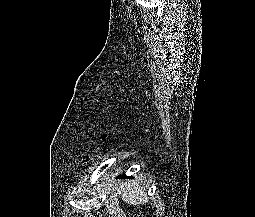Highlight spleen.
Listing matches in <instances>:
<instances>
[{"instance_id": "obj_1", "label": "spleen", "mask_w": 255, "mask_h": 217, "mask_svg": "<svg viewBox=\"0 0 255 217\" xmlns=\"http://www.w3.org/2000/svg\"><path fill=\"white\" fill-rule=\"evenodd\" d=\"M122 196V200L131 205H143L148 203L146 189L137 181H125L118 189Z\"/></svg>"}]
</instances>
